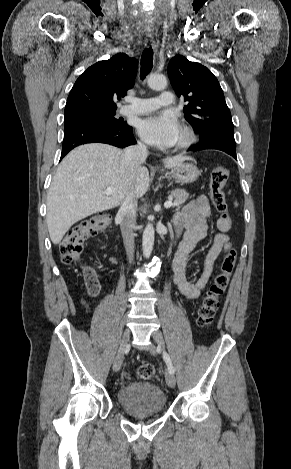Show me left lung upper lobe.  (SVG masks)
Here are the masks:
<instances>
[{"label": "left lung upper lobe", "mask_w": 291, "mask_h": 469, "mask_svg": "<svg viewBox=\"0 0 291 469\" xmlns=\"http://www.w3.org/2000/svg\"><path fill=\"white\" fill-rule=\"evenodd\" d=\"M168 76L176 94L188 102L185 119L199 132L200 141L217 135L234 137L223 91L208 68L176 55L169 62Z\"/></svg>", "instance_id": "1"}]
</instances>
